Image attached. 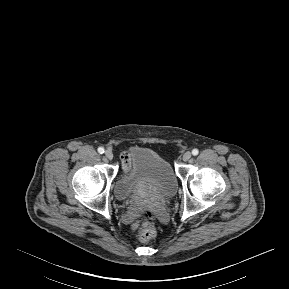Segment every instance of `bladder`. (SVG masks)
Instances as JSON below:
<instances>
[{"mask_svg": "<svg viewBox=\"0 0 289 289\" xmlns=\"http://www.w3.org/2000/svg\"><path fill=\"white\" fill-rule=\"evenodd\" d=\"M176 189L177 179L168 161L151 149L135 147L129 152L127 168L115 182L114 195L122 202L166 200Z\"/></svg>", "mask_w": 289, "mask_h": 289, "instance_id": "bladder-1", "label": "bladder"}]
</instances>
